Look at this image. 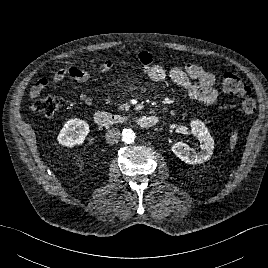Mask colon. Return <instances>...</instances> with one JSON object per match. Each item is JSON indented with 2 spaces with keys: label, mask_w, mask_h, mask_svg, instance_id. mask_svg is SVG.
Returning <instances> with one entry per match:
<instances>
[{
  "label": "colon",
  "mask_w": 268,
  "mask_h": 268,
  "mask_svg": "<svg viewBox=\"0 0 268 268\" xmlns=\"http://www.w3.org/2000/svg\"><path fill=\"white\" fill-rule=\"evenodd\" d=\"M221 81L226 92L238 95L241 98L243 110L247 114L255 113L257 105L252 96V90L239 76L232 72L222 71ZM31 108L40 115L50 118L57 113L59 100L52 95L39 97L33 101Z\"/></svg>",
  "instance_id": "obj_1"
}]
</instances>
